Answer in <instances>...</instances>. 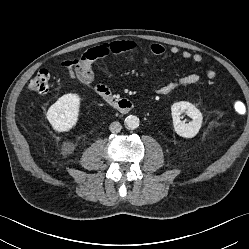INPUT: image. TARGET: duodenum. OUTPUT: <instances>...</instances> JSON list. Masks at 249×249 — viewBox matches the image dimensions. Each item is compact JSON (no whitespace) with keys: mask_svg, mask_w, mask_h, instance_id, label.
Instances as JSON below:
<instances>
[{"mask_svg":"<svg viewBox=\"0 0 249 249\" xmlns=\"http://www.w3.org/2000/svg\"><path fill=\"white\" fill-rule=\"evenodd\" d=\"M101 97L115 110L120 113L126 114L134 108V103L124 97H119L111 91L102 93Z\"/></svg>","mask_w":249,"mask_h":249,"instance_id":"obj_1","label":"duodenum"}]
</instances>
